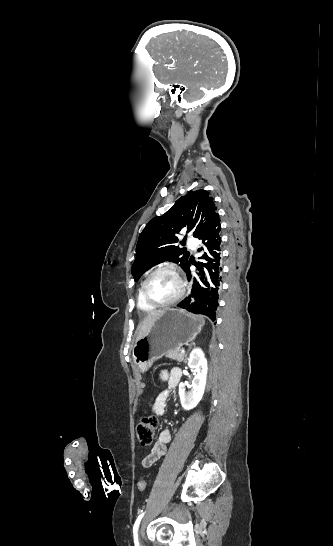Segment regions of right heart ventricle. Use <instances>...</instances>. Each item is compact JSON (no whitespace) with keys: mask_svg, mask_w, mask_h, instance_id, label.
I'll return each instance as SVG.
<instances>
[{"mask_svg":"<svg viewBox=\"0 0 333 546\" xmlns=\"http://www.w3.org/2000/svg\"><path fill=\"white\" fill-rule=\"evenodd\" d=\"M142 286V285H141ZM137 306L140 310L144 312H152L156 309V307L148 304L143 295H142V288L140 287L137 293Z\"/></svg>","mask_w":333,"mask_h":546,"instance_id":"right-heart-ventricle-1","label":"right heart ventricle"}]
</instances>
